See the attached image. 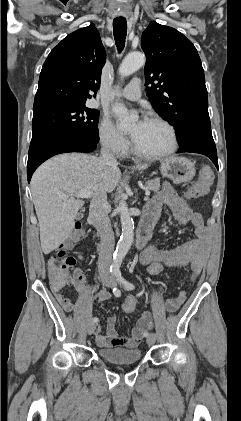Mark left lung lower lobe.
<instances>
[{"instance_id":"1","label":"left lung lower lobe","mask_w":241,"mask_h":421,"mask_svg":"<svg viewBox=\"0 0 241 421\" xmlns=\"http://www.w3.org/2000/svg\"><path fill=\"white\" fill-rule=\"evenodd\" d=\"M191 152L207 156L218 168L217 151L212 137L211 128H204L189 141L180 145L178 153Z\"/></svg>"}]
</instances>
